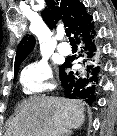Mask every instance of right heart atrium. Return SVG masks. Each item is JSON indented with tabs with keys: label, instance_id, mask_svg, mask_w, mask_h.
<instances>
[{
	"label": "right heart atrium",
	"instance_id": "1",
	"mask_svg": "<svg viewBox=\"0 0 117 136\" xmlns=\"http://www.w3.org/2000/svg\"><path fill=\"white\" fill-rule=\"evenodd\" d=\"M20 83L23 93L28 96H37L55 87L51 69L42 60L30 63L21 71Z\"/></svg>",
	"mask_w": 117,
	"mask_h": 136
}]
</instances>
